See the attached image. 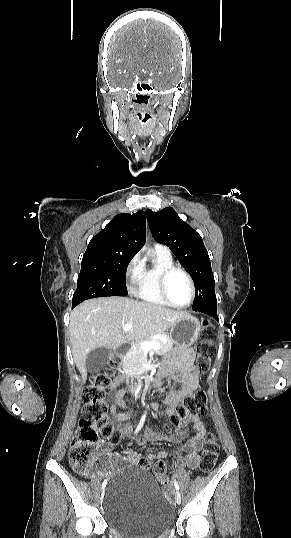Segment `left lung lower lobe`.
Returning <instances> with one entry per match:
<instances>
[{
    "label": "left lung lower lobe",
    "mask_w": 291,
    "mask_h": 538,
    "mask_svg": "<svg viewBox=\"0 0 291 538\" xmlns=\"http://www.w3.org/2000/svg\"><path fill=\"white\" fill-rule=\"evenodd\" d=\"M216 307H217V302H211V303H209V304H207L205 306H201V307L192 306V309L194 311H198V312L208 314V315H210V316H212V317H214L215 319L218 320Z\"/></svg>",
    "instance_id": "obj_1"
}]
</instances>
